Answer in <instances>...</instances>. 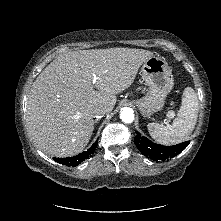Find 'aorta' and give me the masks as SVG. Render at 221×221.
<instances>
[{
	"label": "aorta",
	"instance_id": "aorta-1",
	"mask_svg": "<svg viewBox=\"0 0 221 221\" xmlns=\"http://www.w3.org/2000/svg\"><path fill=\"white\" fill-rule=\"evenodd\" d=\"M120 119L124 123H131L134 120V111L131 108H125L120 113Z\"/></svg>",
	"mask_w": 221,
	"mask_h": 221
}]
</instances>
